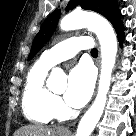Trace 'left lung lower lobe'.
Segmentation results:
<instances>
[{
	"label": "left lung lower lobe",
	"instance_id": "obj_1",
	"mask_svg": "<svg viewBox=\"0 0 136 136\" xmlns=\"http://www.w3.org/2000/svg\"><path fill=\"white\" fill-rule=\"evenodd\" d=\"M115 30H116V33L118 35V40H119L120 44H122L123 39H124V26H123V23L120 22L118 24V26L115 27Z\"/></svg>",
	"mask_w": 136,
	"mask_h": 136
}]
</instances>
